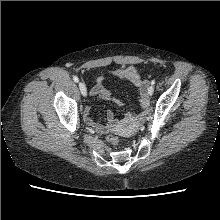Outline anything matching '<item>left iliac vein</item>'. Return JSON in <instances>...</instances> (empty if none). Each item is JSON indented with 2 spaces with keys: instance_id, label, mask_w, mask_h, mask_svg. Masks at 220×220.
<instances>
[{
  "instance_id": "4c4485c4",
  "label": "left iliac vein",
  "mask_w": 220,
  "mask_h": 220,
  "mask_svg": "<svg viewBox=\"0 0 220 220\" xmlns=\"http://www.w3.org/2000/svg\"><path fill=\"white\" fill-rule=\"evenodd\" d=\"M153 93H154V86L151 85V86L148 88V95L151 96Z\"/></svg>"
}]
</instances>
